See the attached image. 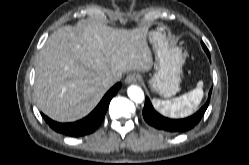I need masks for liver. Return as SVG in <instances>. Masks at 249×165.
I'll use <instances>...</instances> for the list:
<instances>
[{"label": "liver", "instance_id": "liver-1", "mask_svg": "<svg viewBox=\"0 0 249 165\" xmlns=\"http://www.w3.org/2000/svg\"><path fill=\"white\" fill-rule=\"evenodd\" d=\"M148 27L116 29L98 22L63 26L52 33L35 66L34 95L38 108L58 122L88 115L109 89L107 76L149 71Z\"/></svg>", "mask_w": 249, "mask_h": 165}]
</instances>
